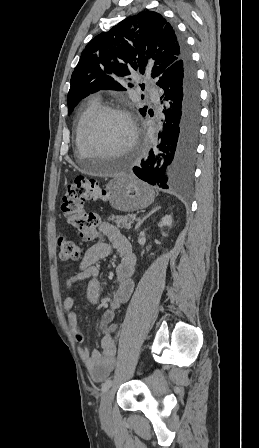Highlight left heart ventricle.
<instances>
[{
  "mask_svg": "<svg viewBox=\"0 0 259 448\" xmlns=\"http://www.w3.org/2000/svg\"><path fill=\"white\" fill-rule=\"evenodd\" d=\"M131 130L128 122L118 114L102 118L93 129L90 143L93 149L83 150L82 163L102 161L119 155L130 140Z\"/></svg>",
  "mask_w": 259,
  "mask_h": 448,
  "instance_id": "left-heart-ventricle-1",
  "label": "left heart ventricle"
}]
</instances>
